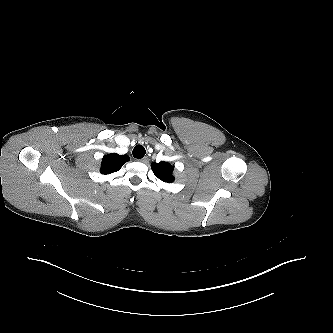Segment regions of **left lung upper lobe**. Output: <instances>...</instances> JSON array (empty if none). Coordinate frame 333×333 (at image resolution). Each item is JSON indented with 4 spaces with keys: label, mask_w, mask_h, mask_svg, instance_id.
<instances>
[{
    "label": "left lung upper lobe",
    "mask_w": 333,
    "mask_h": 333,
    "mask_svg": "<svg viewBox=\"0 0 333 333\" xmlns=\"http://www.w3.org/2000/svg\"><path fill=\"white\" fill-rule=\"evenodd\" d=\"M151 168L156 177L160 180L171 183L174 181V176L172 175L174 166L168 162L161 161L159 163L153 162Z\"/></svg>",
    "instance_id": "1"
}]
</instances>
